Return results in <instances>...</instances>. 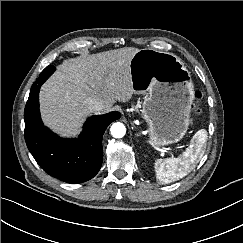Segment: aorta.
Segmentation results:
<instances>
[{
  "label": "aorta",
  "mask_w": 243,
  "mask_h": 243,
  "mask_svg": "<svg viewBox=\"0 0 243 243\" xmlns=\"http://www.w3.org/2000/svg\"><path fill=\"white\" fill-rule=\"evenodd\" d=\"M110 131L114 138H122L126 133V128L123 123L117 122L111 126Z\"/></svg>",
  "instance_id": "obj_1"
}]
</instances>
